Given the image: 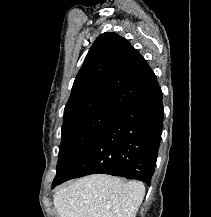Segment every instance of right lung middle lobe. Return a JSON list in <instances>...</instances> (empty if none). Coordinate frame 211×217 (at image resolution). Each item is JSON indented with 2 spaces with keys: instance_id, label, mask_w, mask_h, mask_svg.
Listing matches in <instances>:
<instances>
[{
  "instance_id": "obj_1",
  "label": "right lung middle lobe",
  "mask_w": 211,
  "mask_h": 217,
  "mask_svg": "<svg viewBox=\"0 0 211 217\" xmlns=\"http://www.w3.org/2000/svg\"><path fill=\"white\" fill-rule=\"evenodd\" d=\"M116 115L111 112H97L63 123L55 179L62 178L71 169Z\"/></svg>"
}]
</instances>
